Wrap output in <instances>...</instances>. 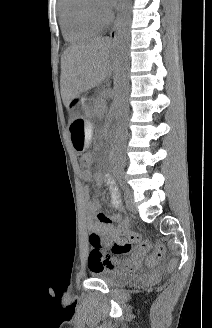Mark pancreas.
Returning a JSON list of instances; mask_svg holds the SVG:
<instances>
[{
    "label": "pancreas",
    "instance_id": "cf45deb5",
    "mask_svg": "<svg viewBox=\"0 0 212 328\" xmlns=\"http://www.w3.org/2000/svg\"><path fill=\"white\" fill-rule=\"evenodd\" d=\"M97 108L99 109L100 112H104L105 111V100L103 98L99 99L96 103Z\"/></svg>",
    "mask_w": 212,
    "mask_h": 328
}]
</instances>
